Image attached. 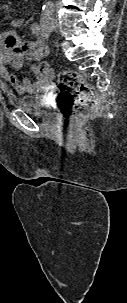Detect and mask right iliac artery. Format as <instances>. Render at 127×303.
<instances>
[{"instance_id": "82829eb1", "label": "right iliac artery", "mask_w": 127, "mask_h": 303, "mask_svg": "<svg viewBox=\"0 0 127 303\" xmlns=\"http://www.w3.org/2000/svg\"><path fill=\"white\" fill-rule=\"evenodd\" d=\"M41 27L43 31V36L48 39L51 34L50 15H41Z\"/></svg>"}]
</instances>
